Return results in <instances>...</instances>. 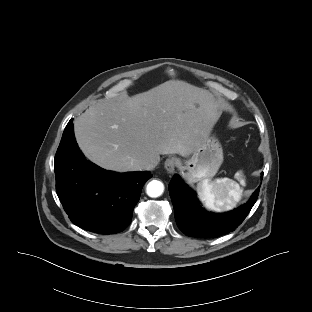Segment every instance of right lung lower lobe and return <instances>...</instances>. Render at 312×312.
<instances>
[{"label": "right lung lower lobe", "instance_id": "obj_1", "mask_svg": "<svg viewBox=\"0 0 312 312\" xmlns=\"http://www.w3.org/2000/svg\"><path fill=\"white\" fill-rule=\"evenodd\" d=\"M56 191L73 224L96 233L123 231L132 220L149 171L116 173L85 160L67 124L54 161Z\"/></svg>", "mask_w": 312, "mask_h": 312}]
</instances>
